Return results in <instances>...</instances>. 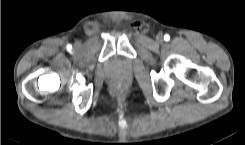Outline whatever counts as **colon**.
I'll use <instances>...</instances> for the list:
<instances>
[{
    "instance_id": "obj_1",
    "label": "colon",
    "mask_w": 245,
    "mask_h": 145,
    "mask_svg": "<svg viewBox=\"0 0 245 145\" xmlns=\"http://www.w3.org/2000/svg\"><path fill=\"white\" fill-rule=\"evenodd\" d=\"M127 84L122 80H114L111 82L110 90L115 95H121L125 93Z\"/></svg>"
}]
</instances>
